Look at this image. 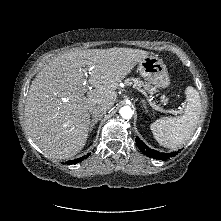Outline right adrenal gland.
<instances>
[{
    "label": "right adrenal gland",
    "instance_id": "right-adrenal-gland-1",
    "mask_svg": "<svg viewBox=\"0 0 221 221\" xmlns=\"http://www.w3.org/2000/svg\"><path fill=\"white\" fill-rule=\"evenodd\" d=\"M100 120V118H93L90 122L89 126V132H91L94 129L95 124Z\"/></svg>",
    "mask_w": 221,
    "mask_h": 221
}]
</instances>
